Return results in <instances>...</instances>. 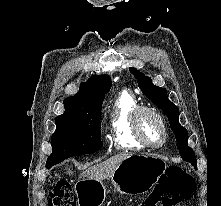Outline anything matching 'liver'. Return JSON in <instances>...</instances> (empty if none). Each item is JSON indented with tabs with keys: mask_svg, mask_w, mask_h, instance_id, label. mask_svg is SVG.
I'll list each match as a JSON object with an SVG mask.
<instances>
[{
	"mask_svg": "<svg viewBox=\"0 0 221 206\" xmlns=\"http://www.w3.org/2000/svg\"><path fill=\"white\" fill-rule=\"evenodd\" d=\"M128 156L129 155L127 154L115 155L99 164L89 167L86 171L82 173V177L102 181L110 177L114 173L118 165ZM68 173L72 174V171L68 170Z\"/></svg>",
	"mask_w": 221,
	"mask_h": 206,
	"instance_id": "6515ba94",
	"label": "liver"
}]
</instances>
